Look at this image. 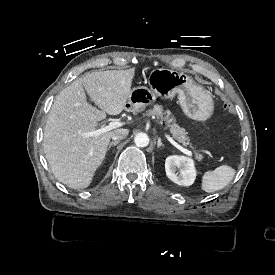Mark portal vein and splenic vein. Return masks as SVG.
I'll list each match as a JSON object with an SVG mask.
<instances>
[{"instance_id": "18ae733b", "label": "portal vein and splenic vein", "mask_w": 275, "mask_h": 275, "mask_svg": "<svg viewBox=\"0 0 275 275\" xmlns=\"http://www.w3.org/2000/svg\"><path fill=\"white\" fill-rule=\"evenodd\" d=\"M119 126V123L117 122H114V121H111L108 123V126L106 127H103L101 129H98V130H94V131H91V132H86V133H81L82 136L84 137H93V136H98L104 132H107V131H110L112 129H115L116 127ZM177 147L185 154L189 155L190 157L192 158H195V155L192 154L191 151L187 150V149H184L182 148L181 146L177 145Z\"/></svg>"}]
</instances>
